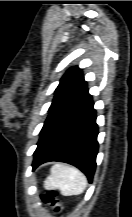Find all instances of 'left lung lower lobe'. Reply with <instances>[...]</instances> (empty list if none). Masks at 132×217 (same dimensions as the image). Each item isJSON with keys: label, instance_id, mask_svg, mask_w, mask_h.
I'll return each instance as SVG.
<instances>
[{"label": "left lung lower lobe", "instance_id": "0a47b994", "mask_svg": "<svg viewBox=\"0 0 132 217\" xmlns=\"http://www.w3.org/2000/svg\"><path fill=\"white\" fill-rule=\"evenodd\" d=\"M93 105L86 90L49 124L34 152L33 169L48 161L66 162L79 168L92 182L98 150Z\"/></svg>", "mask_w": 132, "mask_h": 217}]
</instances>
